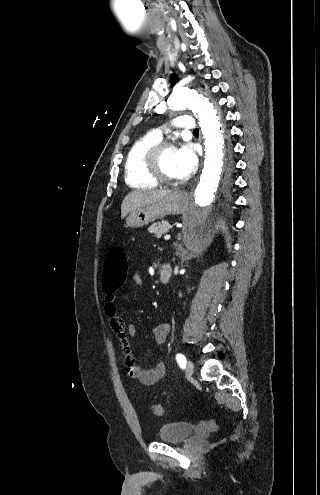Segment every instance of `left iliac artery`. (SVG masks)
Segmentation results:
<instances>
[{
  "label": "left iliac artery",
  "instance_id": "44dca946",
  "mask_svg": "<svg viewBox=\"0 0 320 495\" xmlns=\"http://www.w3.org/2000/svg\"><path fill=\"white\" fill-rule=\"evenodd\" d=\"M176 360H177V362H178L179 366H180L182 369L186 366V358H185V356H184L183 354L178 353V354L176 355Z\"/></svg>",
  "mask_w": 320,
  "mask_h": 495
}]
</instances>
